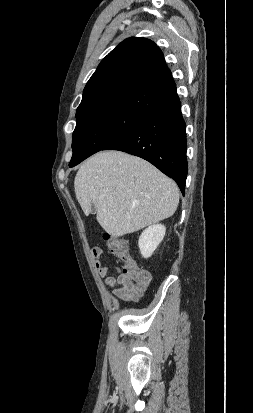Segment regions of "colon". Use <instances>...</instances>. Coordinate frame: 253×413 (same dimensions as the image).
<instances>
[{
  "mask_svg": "<svg viewBox=\"0 0 253 413\" xmlns=\"http://www.w3.org/2000/svg\"><path fill=\"white\" fill-rule=\"evenodd\" d=\"M103 242L116 257L123 261L122 273L125 276L137 285H148L150 275L132 259L129 254L128 243L124 237L106 233L103 235Z\"/></svg>",
  "mask_w": 253,
  "mask_h": 413,
  "instance_id": "1",
  "label": "colon"
}]
</instances>
